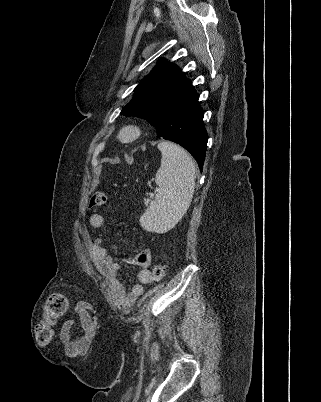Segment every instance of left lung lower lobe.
<instances>
[{"label":"left lung lower lobe","instance_id":"left-lung-lower-lobe-1","mask_svg":"<svg viewBox=\"0 0 321 402\" xmlns=\"http://www.w3.org/2000/svg\"><path fill=\"white\" fill-rule=\"evenodd\" d=\"M198 98L191 81L183 80L161 104L154 126L158 136L188 150L202 170L207 148V132Z\"/></svg>","mask_w":321,"mask_h":402}]
</instances>
